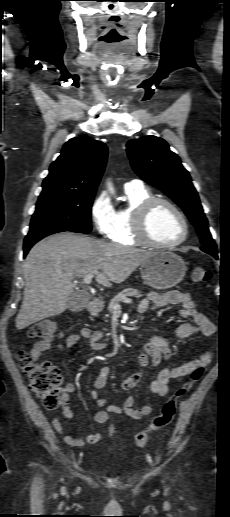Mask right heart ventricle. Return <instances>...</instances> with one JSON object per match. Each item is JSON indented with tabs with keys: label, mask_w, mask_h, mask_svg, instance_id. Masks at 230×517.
I'll use <instances>...</instances> for the list:
<instances>
[{
	"label": "right heart ventricle",
	"mask_w": 230,
	"mask_h": 517,
	"mask_svg": "<svg viewBox=\"0 0 230 517\" xmlns=\"http://www.w3.org/2000/svg\"><path fill=\"white\" fill-rule=\"evenodd\" d=\"M128 207L116 212L115 226L110 240L121 246H135L140 244L134 232V216L137 208L147 199L153 197L145 187L125 189Z\"/></svg>",
	"instance_id": "obj_1"
}]
</instances>
